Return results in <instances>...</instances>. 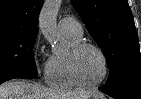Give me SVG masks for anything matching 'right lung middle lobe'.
<instances>
[{
  "label": "right lung middle lobe",
  "instance_id": "obj_1",
  "mask_svg": "<svg viewBox=\"0 0 141 99\" xmlns=\"http://www.w3.org/2000/svg\"><path fill=\"white\" fill-rule=\"evenodd\" d=\"M37 32L0 30V76L26 73L36 75L32 55Z\"/></svg>",
  "mask_w": 141,
  "mask_h": 99
}]
</instances>
